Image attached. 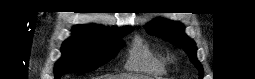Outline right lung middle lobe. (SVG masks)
Listing matches in <instances>:
<instances>
[{"label": "right lung middle lobe", "mask_w": 255, "mask_h": 79, "mask_svg": "<svg viewBox=\"0 0 255 79\" xmlns=\"http://www.w3.org/2000/svg\"><path fill=\"white\" fill-rule=\"evenodd\" d=\"M132 31L123 29L116 39L72 34L62 46V58L55 65V77L70 72H88L110 61L124 47L120 39Z\"/></svg>", "instance_id": "right-lung-middle-lobe-1"}]
</instances>
